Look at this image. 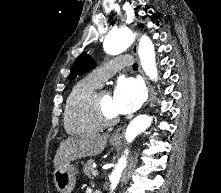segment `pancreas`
<instances>
[{"mask_svg":"<svg viewBox=\"0 0 221 193\" xmlns=\"http://www.w3.org/2000/svg\"><path fill=\"white\" fill-rule=\"evenodd\" d=\"M95 163V161L94 160H92V159H90V160H88L87 162H86V164L84 165V167H83V172H84V174L86 175V176H88L89 178H92L93 177V170H94V168H93V164Z\"/></svg>","mask_w":221,"mask_h":193,"instance_id":"pancreas-1","label":"pancreas"}]
</instances>
